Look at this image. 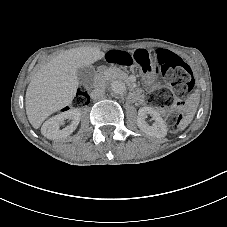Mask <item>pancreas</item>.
<instances>
[{
    "instance_id": "1",
    "label": "pancreas",
    "mask_w": 227,
    "mask_h": 227,
    "mask_svg": "<svg viewBox=\"0 0 227 227\" xmlns=\"http://www.w3.org/2000/svg\"><path fill=\"white\" fill-rule=\"evenodd\" d=\"M104 77L107 78H124L125 74L117 68H111L102 72Z\"/></svg>"
}]
</instances>
